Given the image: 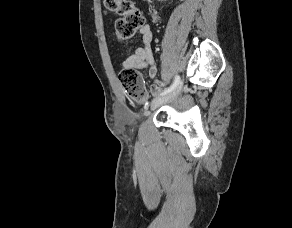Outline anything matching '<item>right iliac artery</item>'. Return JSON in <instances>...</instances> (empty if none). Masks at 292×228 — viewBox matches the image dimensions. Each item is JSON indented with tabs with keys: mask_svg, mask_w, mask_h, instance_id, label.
<instances>
[{
	"mask_svg": "<svg viewBox=\"0 0 292 228\" xmlns=\"http://www.w3.org/2000/svg\"><path fill=\"white\" fill-rule=\"evenodd\" d=\"M179 83H180V77L177 75L175 77L173 84L169 88L164 90L160 95L163 96V95H166L167 93L171 92L172 90H174L178 86Z\"/></svg>",
	"mask_w": 292,
	"mask_h": 228,
	"instance_id": "obj_1",
	"label": "right iliac artery"
}]
</instances>
